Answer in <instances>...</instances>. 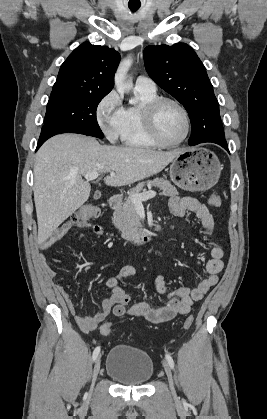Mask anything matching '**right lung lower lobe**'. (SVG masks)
Instances as JSON below:
<instances>
[{"label":"right lung lower lobe","instance_id":"98d812e1","mask_svg":"<svg viewBox=\"0 0 267 419\" xmlns=\"http://www.w3.org/2000/svg\"><path fill=\"white\" fill-rule=\"evenodd\" d=\"M60 133H65L64 130H60L58 128H54V127H47V126H43L42 127V131L39 137V141H38V145H37V149L50 137L56 135V134H60Z\"/></svg>","mask_w":267,"mask_h":419}]
</instances>
